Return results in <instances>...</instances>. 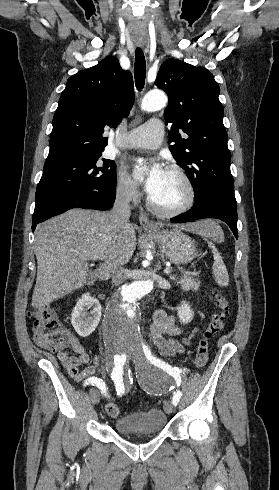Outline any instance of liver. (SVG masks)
Masks as SVG:
<instances>
[{"instance_id":"liver-1","label":"liver","mask_w":279,"mask_h":490,"mask_svg":"<svg viewBox=\"0 0 279 490\" xmlns=\"http://www.w3.org/2000/svg\"><path fill=\"white\" fill-rule=\"evenodd\" d=\"M175 228L201 232L202 224ZM34 244L38 270L32 306L41 308L84 286L87 260H102L94 276L109 278L118 262L131 260L137 240L132 224L111 226L109 212L75 208L38 224Z\"/></svg>"}]
</instances>
